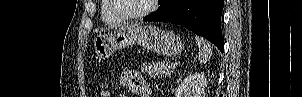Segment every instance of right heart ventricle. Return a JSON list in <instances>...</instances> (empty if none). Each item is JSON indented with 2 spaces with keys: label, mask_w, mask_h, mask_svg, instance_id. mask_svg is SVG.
<instances>
[{
  "label": "right heart ventricle",
  "mask_w": 302,
  "mask_h": 97,
  "mask_svg": "<svg viewBox=\"0 0 302 97\" xmlns=\"http://www.w3.org/2000/svg\"><path fill=\"white\" fill-rule=\"evenodd\" d=\"M101 19L105 25L111 27L120 26L124 22L113 14L108 0H102Z\"/></svg>",
  "instance_id": "e07e8e85"
}]
</instances>
